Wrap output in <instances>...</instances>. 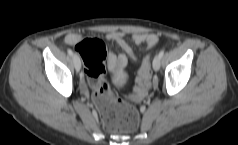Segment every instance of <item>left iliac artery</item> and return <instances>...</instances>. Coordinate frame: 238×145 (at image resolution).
<instances>
[{"instance_id": "obj_1", "label": "left iliac artery", "mask_w": 238, "mask_h": 145, "mask_svg": "<svg viewBox=\"0 0 238 145\" xmlns=\"http://www.w3.org/2000/svg\"><path fill=\"white\" fill-rule=\"evenodd\" d=\"M163 55H164V49H162V50L159 52L158 56H159V58L161 59V58L163 57Z\"/></svg>"}]
</instances>
